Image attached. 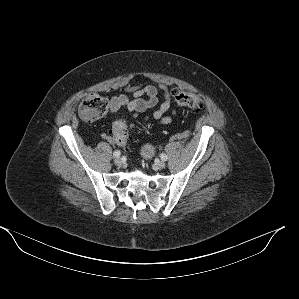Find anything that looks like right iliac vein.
<instances>
[{
	"label": "right iliac vein",
	"instance_id": "obj_1",
	"mask_svg": "<svg viewBox=\"0 0 299 299\" xmlns=\"http://www.w3.org/2000/svg\"><path fill=\"white\" fill-rule=\"evenodd\" d=\"M114 164L116 166H121L123 164V160L120 157L115 158Z\"/></svg>",
	"mask_w": 299,
	"mask_h": 299
}]
</instances>
